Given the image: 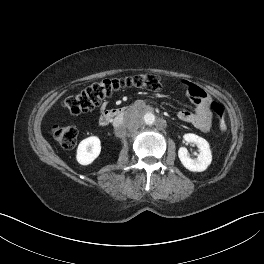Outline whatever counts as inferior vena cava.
<instances>
[{
    "instance_id": "obj_1",
    "label": "inferior vena cava",
    "mask_w": 264,
    "mask_h": 264,
    "mask_svg": "<svg viewBox=\"0 0 264 264\" xmlns=\"http://www.w3.org/2000/svg\"><path fill=\"white\" fill-rule=\"evenodd\" d=\"M113 125L115 127H123L125 125V120L121 116H116L113 119Z\"/></svg>"
}]
</instances>
